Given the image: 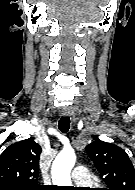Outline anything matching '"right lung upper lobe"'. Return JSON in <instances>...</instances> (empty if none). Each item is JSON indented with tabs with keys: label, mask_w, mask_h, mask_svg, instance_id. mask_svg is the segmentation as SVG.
Listing matches in <instances>:
<instances>
[{
	"label": "right lung upper lobe",
	"mask_w": 135,
	"mask_h": 190,
	"mask_svg": "<svg viewBox=\"0 0 135 190\" xmlns=\"http://www.w3.org/2000/svg\"><path fill=\"white\" fill-rule=\"evenodd\" d=\"M40 145L26 139L7 147L0 156V190H37Z\"/></svg>",
	"instance_id": "cb5924a9"
}]
</instances>
